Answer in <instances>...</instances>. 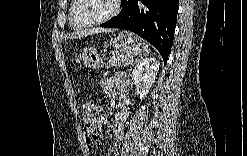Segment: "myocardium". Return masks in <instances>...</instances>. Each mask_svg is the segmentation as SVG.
<instances>
[{
	"label": "myocardium",
	"mask_w": 247,
	"mask_h": 156,
	"mask_svg": "<svg viewBox=\"0 0 247 156\" xmlns=\"http://www.w3.org/2000/svg\"><path fill=\"white\" fill-rule=\"evenodd\" d=\"M82 1L83 0H77L75 2L73 10H72V14H71V22H72L73 26H75L78 29L92 28V27L101 25V24L107 22L108 20H110L111 18H113L119 12V1L118 0H111L112 1V8H111V11L107 15H105V16H103V17H101V18H99L93 22L81 23L77 20L76 13H77V10H78Z\"/></svg>",
	"instance_id": "1"
}]
</instances>
